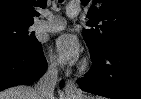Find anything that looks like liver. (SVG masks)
Instances as JSON below:
<instances>
[{
  "mask_svg": "<svg viewBox=\"0 0 141 99\" xmlns=\"http://www.w3.org/2000/svg\"><path fill=\"white\" fill-rule=\"evenodd\" d=\"M0 99H38V98L33 87L19 85L0 92Z\"/></svg>",
  "mask_w": 141,
  "mask_h": 99,
  "instance_id": "liver-1",
  "label": "liver"
}]
</instances>
